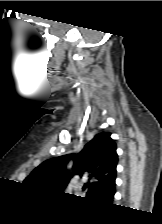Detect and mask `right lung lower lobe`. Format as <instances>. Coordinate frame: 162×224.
Wrapping results in <instances>:
<instances>
[{
	"mask_svg": "<svg viewBox=\"0 0 162 224\" xmlns=\"http://www.w3.org/2000/svg\"><path fill=\"white\" fill-rule=\"evenodd\" d=\"M114 195L110 198V202H112Z\"/></svg>",
	"mask_w": 162,
	"mask_h": 224,
	"instance_id": "right-lung-lower-lobe-1",
	"label": "right lung lower lobe"
}]
</instances>
